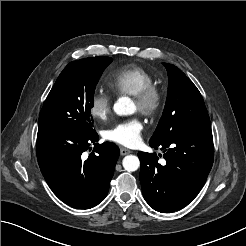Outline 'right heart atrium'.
<instances>
[{
    "mask_svg": "<svg viewBox=\"0 0 246 246\" xmlns=\"http://www.w3.org/2000/svg\"><path fill=\"white\" fill-rule=\"evenodd\" d=\"M89 111L94 119L99 121L107 120L112 112L111 97L104 92L94 94L90 101Z\"/></svg>",
    "mask_w": 246,
    "mask_h": 246,
    "instance_id": "obj_1",
    "label": "right heart atrium"
}]
</instances>
